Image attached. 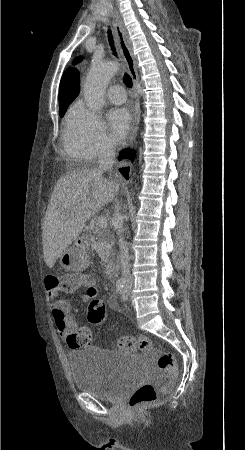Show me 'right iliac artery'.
<instances>
[{"mask_svg": "<svg viewBox=\"0 0 245 450\" xmlns=\"http://www.w3.org/2000/svg\"><path fill=\"white\" fill-rule=\"evenodd\" d=\"M116 289H117V292H118L119 294H122V293H123V291H124V285H123V281H122L121 279H119V280L116 282Z\"/></svg>", "mask_w": 245, "mask_h": 450, "instance_id": "1", "label": "right iliac artery"}]
</instances>
